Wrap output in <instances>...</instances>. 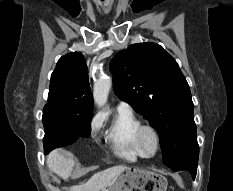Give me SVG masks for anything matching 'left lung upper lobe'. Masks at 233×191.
Masks as SVG:
<instances>
[{"label": "left lung upper lobe", "mask_w": 233, "mask_h": 191, "mask_svg": "<svg viewBox=\"0 0 233 191\" xmlns=\"http://www.w3.org/2000/svg\"><path fill=\"white\" fill-rule=\"evenodd\" d=\"M110 70L116 95L159 133L163 163L198 159L194 105L174 58L156 43H138L118 52Z\"/></svg>", "instance_id": "obj_1"}]
</instances>
